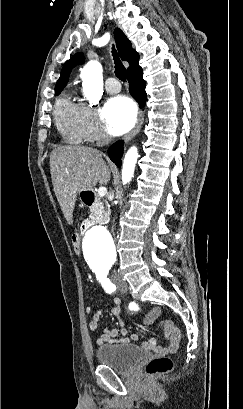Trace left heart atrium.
I'll return each instance as SVG.
<instances>
[{"label": "left heart atrium", "instance_id": "obj_1", "mask_svg": "<svg viewBox=\"0 0 243 409\" xmlns=\"http://www.w3.org/2000/svg\"><path fill=\"white\" fill-rule=\"evenodd\" d=\"M137 109L128 97L117 96L109 99L101 111L106 131L111 135H121L135 124Z\"/></svg>", "mask_w": 243, "mask_h": 409}]
</instances>
